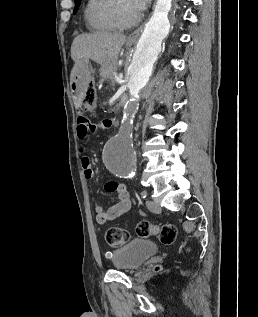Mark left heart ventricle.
Wrapping results in <instances>:
<instances>
[{
    "instance_id": "obj_1",
    "label": "left heart ventricle",
    "mask_w": 258,
    "mask_h": 317,
    "mask_svg": "<svg viewBox=\"0 0 258 317\" xmlns=\"http://www.w3.org/2000/svg\"><path fill=\"white\" fill-rule=\"evenodd\" d=\"M136 10L128 5H124L120 11V18L124 24H129L134 18Z\"/></svg>"
}]
</instances>
